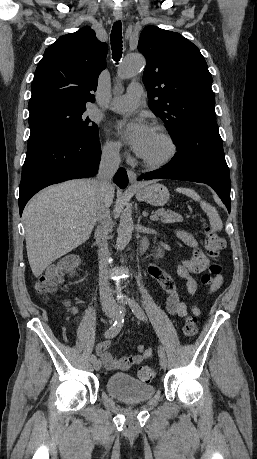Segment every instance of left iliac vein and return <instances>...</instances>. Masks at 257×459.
<instances>
[{
	"mask_svg": "<svg viewBox=\"0 0 257 459\" xmlns=\"http://www.w3.org/2000/svg\"><path fill=\"white\" fill-rule=\"evenodd\" d=\"M122 311L124 312L125 309L122 308ZM117 317H118V315H117ZM160 366H161L162 369H166V367H167V359H166L165 356L160 357Z\"/></svg>",
	"mask_w": 257,
	"mask_h": 459,
	"instance_id": "4c4485c4",
	"label": "left iliac vein"
}]
</instances>
